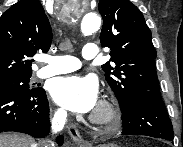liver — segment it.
<instances>
[{
  "mask_svg": "<svg viewBox=\"0 0 183 147\" xmlns=\"http://www.w3.org/2000/svg\"><path fill=\"white\" fill-rule=\"evenodd\" d=\"M34 140L17 133L0 134V147H35Z\"/></svg>",
  "mask_w": 183,
  "mask_h": 147,
  "instance_id": "1",
  "label": "liver"
}]
</instances>
